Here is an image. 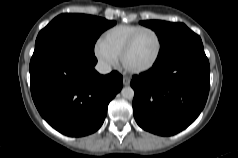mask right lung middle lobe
<instances>
[{"label": "right lung middle lobe", "mask_w": 238, "mask_h": 158, "mask_svg": "<svg viewBox=\"0 0 238 158\" xmlns=\"http://www.w3.org/2000/svg\"><path fill=\"white\" fill-rule=\"evenodd\" d=\"M115 21L85 14H61L43 28L36 39L35 47L52 39H63L89 54H94V44Z\"/></svg>", "instance_id": "1"}]
</instances>
